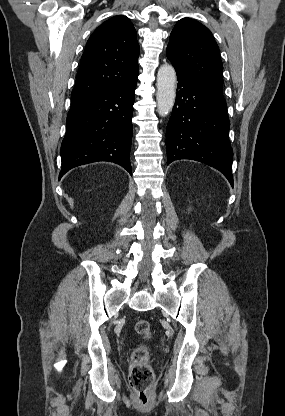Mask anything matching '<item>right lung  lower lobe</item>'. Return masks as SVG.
Returning <instances> with one entry per match:
<instances>
[{
	"instance_id": "98d812e1",
	"label": "right lung lower lobe",
	"mask_w": 285,
	"mask_h": 416,
	"mask_svg": "<svg viewBox=\"0 0 285 416\" xmlns=\"http://www.w3.org/2000/svg\"><path fill=\"white\" fill-rule=\"evenodd\" d=\"M138 75L101 95L72 103L61 145L62 169L110 161L131 175L130 148L134 91Z\"/></svg>"
}]
</instances>
